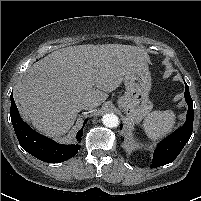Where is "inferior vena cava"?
I'll return each instance as SVG.
<instances>
[{"instance_id": "1", "label": "inferior vena cava", "mask_w": 201, "mask_h": 201, "mask_svg": "<svg viewBox=\"0 0 201 201\" xmlns=\"http://www.w3.org/2000/svg\"><path fill=\"white\" fill-rule=\"evenodd\" d=\"M94 106V104L90 101H83V102H80L78 104V108L80 110H88V109H92Z\"/></svg>"}]
</instances>
